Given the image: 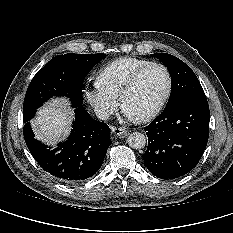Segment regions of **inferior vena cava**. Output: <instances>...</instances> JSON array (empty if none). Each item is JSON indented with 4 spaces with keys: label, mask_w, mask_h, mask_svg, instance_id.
<instances>
[{
    "label": "inferior vena cava",
    "mask_w": 233,
    "mask_h": 233,
    "mask_svg": "<svg viewBox=\"0 0 233 233\" xmlns=\"http://www.w3.org/2000/svg\"><path fill=\"white\" fill-rule=\"evenodd\" d=\"M96 116L101 120H107L111 114L110 110L105 107L95 109Z\"/></svg>",
    "instance_id": "1"
}]
</instances>
